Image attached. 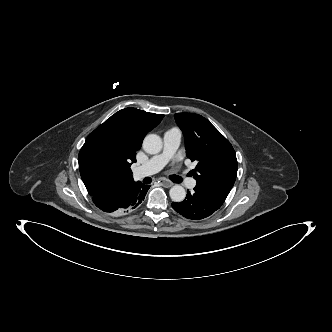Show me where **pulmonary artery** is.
<instances>
[{"label":"pulmonary artery","mask_w":332,"mask_h":332,"mask_svg":"<svg viewBox=\"0 0 332 332\" xmlns=\"http://www.w3.org/2000/svg\"><path fill=\"white\" fill-rule=\"evenodd\" d=\"M163 150L160 154L153 156L144 164L137 167L134 174L138 178L150 176L159 172L165 164L173 157L181 142V133L178 129H171L165 132L163 137ZM182 181L189 188H194L196 181L192 178L182 175Z\"/></svg>","instance_id":"1"}]
</instances>
